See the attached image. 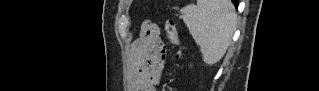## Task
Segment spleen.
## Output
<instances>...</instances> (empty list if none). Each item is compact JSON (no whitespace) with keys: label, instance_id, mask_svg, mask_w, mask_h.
Returning a JSON list of instances; mask_svg holds the SVG:
<instances>
[{"label":"spleen","instance_id":"1","mask_svg":"<svg viewBox=\"0 0 319 91\" xmlns=\"http://www.w3.org/2000/svg\"><path fill=\"white\" fill-rule=\"evenodd\" d=\"M189 33L200 47L204 63L214 65L225 55L237 15L228 0H198L180 9Z\"/></svg>","mask_w":319,"mask_h":91}]
</instances>
